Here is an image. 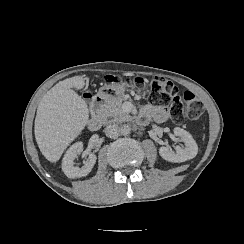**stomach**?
Wrapping results in <instances>:
<instances>
[{"label":"stomach","instance_id":"stomach-1","mask_svg":"<svg viewBox=\"0 0 244 244\" xmlns=\"http://www.w3.org/2000/svg\"><path fill=\"white\" fill-rule=\"evenodd\" d=\"M127 86L128 84L124 81L120 84L104 85L99 89L94 99L96 100L99 97L105 103H109L112 100L121 98Z\"/></svg>","mask_w":244,"mask_h":244}]
</instances>
